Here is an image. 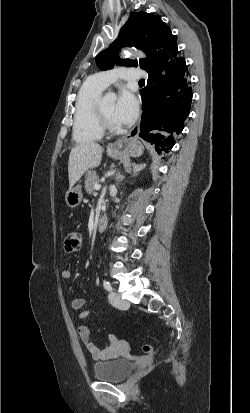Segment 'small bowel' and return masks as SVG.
<instances>
[{"label":"small bowel","mask_w":250,"mask_h":413,"mask_svg":"<svg viewBox=\"0 0 250 413\" xmlns=\"http://www.w3.org/2000/svg\"><path fill=\"white\" fill-rule=\"evenodd\" d=\"M62 277L66 280H70L73 278V271L71 269H64L62 271ZM86 304V300L84 298H75L71 301L70 305L71 308L74 310H81L78 314V318L83 320L86 319L89 315V312L86 310H82ZM78 335L85 345L88 352L91 354L93 359L99 361H107L115 359L119 356L122 344L121 341L114 335L109 336V345L101 349L99 348L92 340H91V331L90 329L82 325L78 328Z\"/></svg>","instance_id":"obj_1"}]
</instances>
